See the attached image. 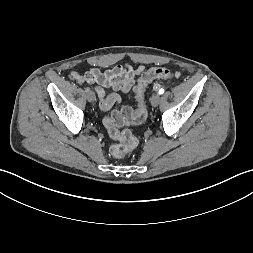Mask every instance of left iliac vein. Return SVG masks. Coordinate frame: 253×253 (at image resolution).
I'll return each instance as SVG.
<instances>
[{
    "mask_svg": "<svg viewBox=\"0 0 253 253\" xmlns=\"http://www.w3.org/2000/svg\"><path fill=\"white\" fill-rule=\"evenodd\" d=\"M160 99H161V97L159 94L153 95L150 99L151 105L156 107L159 104Z\"/></svg>",
    "mask_w": 253,
    "mask_h": 253,
    "instance_id": "obj_1",
    "label": "left iliac vein"
}]
</instances>
